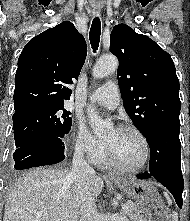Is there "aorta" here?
Here are the masks:
<instances>
[{"label": "aorta", "instance_id": "762f6f07", "mask_svg": "<svg viewBox=\"0 0 190 221\" xmlns=\"http://www.w3.org/2000/svg\"><path fill=\"white\" fill-rule=\"evenodd\" d=\"M117 68V58L111 55L105 56L97 61L96 65L93 67L92 75L96 79L103 78L115 72ZM87 115L90 127L96 135L103 134L110 128V123L101 119L94 107L90 106L87 108Z\"/></svg>", "mask_w": 190, "mask_h": 221}]
</instances>
